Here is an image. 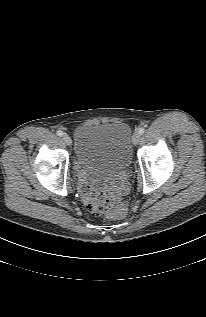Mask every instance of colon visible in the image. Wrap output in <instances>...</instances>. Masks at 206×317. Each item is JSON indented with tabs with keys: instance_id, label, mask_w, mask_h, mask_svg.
Instances as JSON below:
<instances>
[{
	"instance_id": "colon-1",
	"label": "colon",
	"mask_w": 206,
	"mask_h": 317,
	"mask_svg": "<svg viewBox=\"0 0 206 317\" xmlns=\"http://www.w3.org/2000/svg\"><path fill=\"white\" fill-rule=\"evenodd\" d=\"M87 207L96 216H108L112 219H122L126 216L128 206L123 199H112L99 188H89Z\"/></svg>"
}]
</instances>
